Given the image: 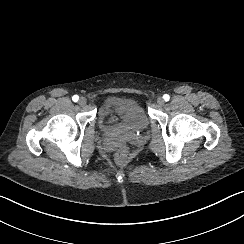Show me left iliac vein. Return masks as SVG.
Here are the masks:
<instances>
[{
	"mask_svg": "<svg viewBox=\"0 0 244 244\" xmlns=\"http://www.w3.org/2000/svg\"><path fill=\"white\" fill-rule=\"evenodd\" d=\"M164 99L162 98V97H159V98H157V104L159 105V106H164Z\"/></svg>",
	"mask_w": 244,
	"mask_h": 244,
	"instance_id": "obj_1",
	"label": "left iliac vein"
}]
</instances>
